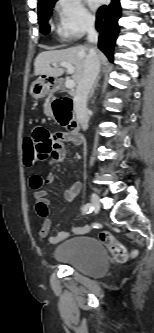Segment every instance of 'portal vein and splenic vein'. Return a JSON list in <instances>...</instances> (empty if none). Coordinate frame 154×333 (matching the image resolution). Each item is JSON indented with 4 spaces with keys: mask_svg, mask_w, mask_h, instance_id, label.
<instances>
[{
    "mask_svg": "<svg viewBox=\"0 0 154 333\" xmlns=\"http://www.w3.org/2000/svg\"><path fill=\"white\" fill-rule=\"evenodd\" d=\"M53 66H56L57 64L56 63H53L52 64ZM59 66L61 67H64L67 69V72L69 74H72L74 72V67L70 64V63H67V62H61L59 63ZM76 85V82L73 80V79H67L65 81V87L68 88V89H72L74 88Z\"/></svg>",
    "mask_w": 154,
    "mask_h": 333,
    "instance_id": "portal-vein-and-splenic-vein-1",
    "label": "portal vein and splenic vein"
}]
</instances>
